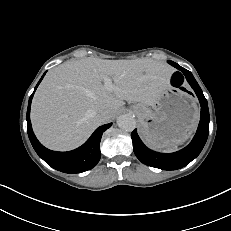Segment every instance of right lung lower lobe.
Masks as SVG:
<instances>
[{
	"label": "right lung lower lobe",
	"instance_id": "98d812e1",
	"mask_svg": "<svg viewBox=\"0 0 231 231\" xmlns=\"http://www.w3.org/2000/svg\"><path fill=\"white\" fill-rule=\"evenodd\" d=\"M45 73L36 85L34 92L43 79ZM33 94L30 96L27 109V131L33 148L36 153L52 168L64 173H81L92 169L100 160V140L103 132L108 129L112 123L100 126L95 130L91 137L79 148L69 152H56L45 148L36 139L30 121V108Z\"/></svg>",
	"mask_w": 231,
	"mask_h": 231
}]
</instances>
